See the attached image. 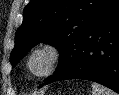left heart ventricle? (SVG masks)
Here are the masks:
<instances>
[{
  "label": "left heart ventricle",
  "mask_w": 119,
  "mask_h": 95,
  "mask_svg": "<svg viewBox=\"0 0 119 95\" xmlns=\"http://www.w3.org/2000/svg\"><path fill=\"white\" fill-rule=\"evenodd\" d=\"M49 57L46 53H39L35 55L31 61L32 69L35 71H42L48 63Z\"/></svg>",
  "instance_id": "obj_1"
}]
</instances>
